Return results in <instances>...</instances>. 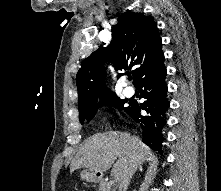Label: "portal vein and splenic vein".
<instances>
[{
    "label": "portal vein and splenic vein",
    "instance_id": "obj_1",
    "mask_svg": "<svg viewBox=\"0 0 221 191\" xmlns=\"http://www.w3.org/2000/svg\"><path fill=\"white\" fill-rule=\"evenodd\" d=\"M109 184H110V185L114 184V181H110Z\"/></svg>",
    "mask_w": 221,
    "mask_h": 191
}]
</instances>
